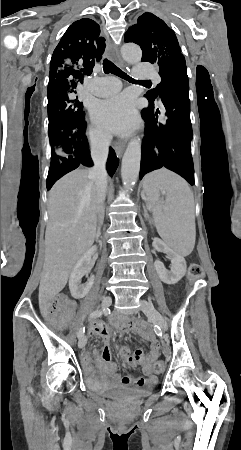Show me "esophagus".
Instances as JSON below:
<instances>
[{
  "mask_svg": "<svg viewBox=\"0 0 241 450\" xmlns=\"http://www.w3.org/2000/svg\"><path fill=\"white\" fill-rule=\"evenodd\" d=\"M117 53H118L117 49L111 50V55H112V57H113V60H114L116 63H120V62H119V56L117 55ZM114 148H115V152H116L117 156H118V157H121L122 154H123V152H124L125 145H123V144H117V145H115Z\"/></svg>",
  "mask_w": 241,
  "mask_h": 450,
  "instance_id": "1",
  "label": "esophagus"
}]
</instances>
